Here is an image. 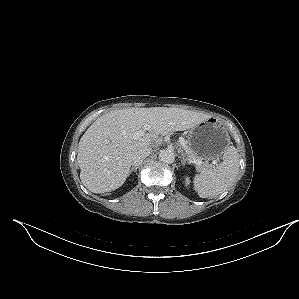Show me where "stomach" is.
<instances>
[{
  "instance_id": "obj_1",
  "label": "stomach",
  "mask_w": 299,
  "mask_h": 299,
  "mask_svg": "<svg viewBox=\"0 0 299 299\" xmlns=\"http://www.w3.org/2000/svg\"><path fill=\"white\" fill-rule=\"evenodd\" d=\"M187 138L191 149L206 161L221 157L231 143L227 129L215 117L191 128Z\"/></svg>"
}]
</instances>
